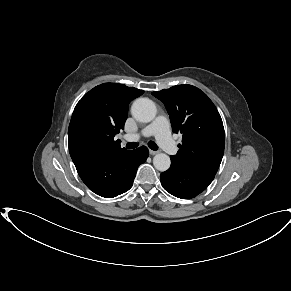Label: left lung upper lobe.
Instances as JSON below:
<instances>
[{
  "label": "left lung upper lobe",
  "instance_id": "5c2ea615",
  "mask_svg": "<svg viewBox=\"0 0 291 291\" xmlns=\"http://www.w3.org/2000/svg\"><path fill=\"white\" fill-rule=\"evenodd\" d=\"M170 116L174 133H182V145L171 156L189 169L215 176L225 145L221 116L208 96L192 85H177L152 93Z\"/></svg>",
  "mask_w": 291,
  "mask_h": 291
}]
</instances>
